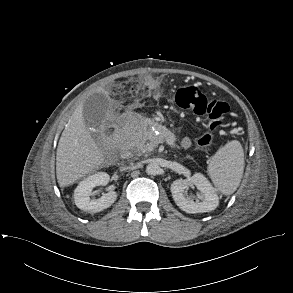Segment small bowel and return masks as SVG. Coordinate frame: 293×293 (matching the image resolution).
Masks as SVG:
<instances>
[{
	"mask_svg": "<svg viewBox=\"0 0 293 293\" xmlns=\"http://www.w3.org/2000/svg\"><path fill=\"white\" fill-rule=\"evenodd\" d=\"M143 83H144L145 87L148 88V89H154L156 87V85H157L156 80L153 77L149 76V75H146V76L143 77ZM181 144H182L183 147L187 148V147L190 146L191 142H190L189 139L186 138V139H184L182 141Z\"/></svg>",
	"mask_w": 293,
	"mask_h": 293,
	"instance_id": "small-bowel-1",
	"label": "small bowel"
}]
</instances>
